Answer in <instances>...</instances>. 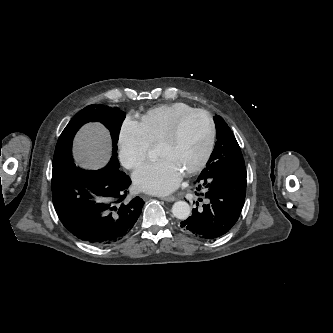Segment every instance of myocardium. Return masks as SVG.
Segmentation results:
<instances>
[{
	"mask_svg": "<svg viewBox=\"0 0 333 333\" xmlns=\"http://www.w3.org/2000/svg\"><path fill=\"white\" fill-rule=\"evenodd\" d=\"M195 114H202L207 118L208 124H209V138H208V142L206 145V149H205L204 154L202 155L201 159L198 161L197 164H195L193 167H191L190 169H188L187 171L184 172V174L186 176L193 175V174L199 172L200 170H202L208 163V161L213 153L215 141H216V125H215L213 116L210 114V112L205 109L194 108L190 111H187V112L181 114L172 123V125L170 126L168 131L165 133V135L161 138V140L158 143L160 145V144L170 143V142H173L174 140H176L183 123L189 117H191L192 115H195Z\"/></svg>",
	"mask_w": 333,
	"mask_h": 333,
	"instance_id": "obj_1",
	"label": "myocardium"
}]
</instances>
